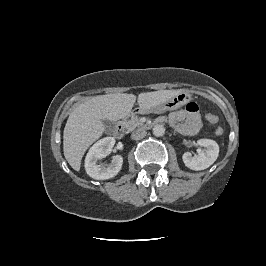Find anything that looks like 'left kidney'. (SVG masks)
I'll return each mask as SVG.
<instances>
[{"label":"left kidney","instance_id":"1","mask_svg":"<svg viewBox=\"0 0 266 266\" xmlns=\"http://www.w3.org/2000/svg\"><path fill=\"white\" fill-rule=\"evenodd\" d=\"M197 144L205 149L195 156H192L190 152H186L182 159L186 167L199 171L208 168L216 161L219 155V146L211 139H199Z\"/></svg>","mask_w":266,"mask_h":266}]
</instances>
